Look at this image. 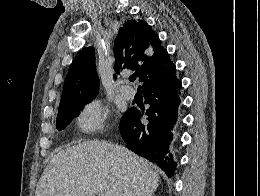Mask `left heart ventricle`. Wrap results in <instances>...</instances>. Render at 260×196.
Returning <instances> with one entry per match:
<instances>
[{
	"instance_id": "b2bd125f",
	"label": "left heart ventricle",
	"mask_w": 260,
	"mask_h": 196,
	"mask_svg": "<svg viewBox=\"0 0 260 196\" xmlns=\"http://www.w3.org/2000/svg\"><path fill=\"white\" fill-rule=\"evenodd\" d=\"M54 192H64V190H54ZM97 192H109V190H97Z\"/></svg>"
}]
</instances>
